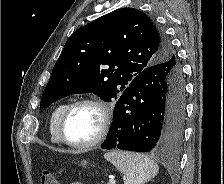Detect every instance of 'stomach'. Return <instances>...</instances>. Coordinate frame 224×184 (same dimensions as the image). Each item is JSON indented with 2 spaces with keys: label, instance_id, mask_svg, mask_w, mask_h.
I'll list each match as a JSON object with an SVG mask.
<instances>
[{
  "label": "stomach",
  "instance_id": "0dacf381",
  "mask_svg": "<svg viewBox=\"0 0 224 184\" xmlns=\"http://www.w3.org/2000/svg\"><path fill=\"white\" fill-rule=\"evenodd\" d=\"M87 164V161H85V160H83L82 162H81V165H83V166H85Z\"/></svg>",
  "mask_w": 224,
  "mask_h": 184
}]
</instances>
